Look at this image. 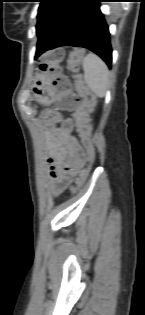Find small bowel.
I'll return each instance as SVG.
<instances>
[{"label":"small bowel","instance_id":"small-bowel-1","mask_svg":"<svg viewBox=\"0 0 145 315\" xmlns=\"http://www.w3.org/2000/svg\"><path fill=\"white\" fill-rule=\"evenodd\" d=\"M72 129V120L65 119L48 135L47 173L50 186L55 193H60L68 187L77 176V182L81 183L87 175L83 169L86 154L72 135Z\"/></svg>","mask_w":145,"mask_h":315}]
</instances>
